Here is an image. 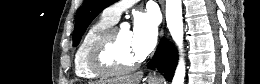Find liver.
Here are the masks:
<instances>
[{
	"mask_svg": "<svg viewBox=\"0 0 260 84\" xmlns=\"http://www.w3.org/2000/svg\"><path fill=\"white\" fill-rule=\"evenodd\" d=\"M142 74L128 75L118 79L99 81L92 84H139Z\"/></svg>",
	"mask_w": 260,
	"mask_h": 84,
	"instance_id": "liver-1",
	"label": "liver"
}]
</instances>
